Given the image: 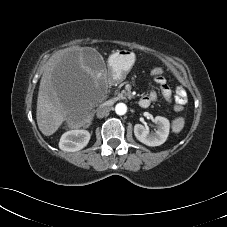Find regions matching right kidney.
<instances>
[{
  "label": "right kidney",
  "instance_id": "1",
  "mask_svg": "<svg viewBox=\"0 0 227 227\" xmlns=\"http://www.w3.org/2000/svg\"><path fill=\"white\" fill-rule=\"evenodd\" d=\"M90 133L87 130H70L65 132L59 142V148L67 152H75L83 149L90 140Z\"/></svg>",
  "mask_w": 227,
  "mask_h": 227
}]
</instances>
